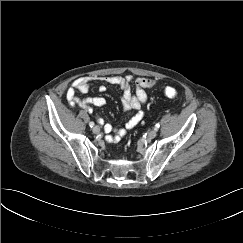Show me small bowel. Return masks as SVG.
Returning a JSON list of instances; mask_svg holds the SVG:
<instances>
[{"label": "small bowel", "instance_id": "obj_1", "mask_svg": "<svg viewBox=\"0 0 243 243\" xmlns=\"http://www.w3.org/2000/svg\"><path fill=\"white\" fill-rule=\"evenodd\" d=\"M96 77L83 76L75 79L67 90V99L72 106H79L89 112H91V106L101 107L105 105L106 101L103 97H85L80 98L77 96V92L87 93L92 81L97 80ZM105 81L111 85L117 86L122 90V106L124 110H135L136 113L127 121L125 128L113 129L112 125L106 124L104 130L106 133L110 134L108 136V141L117 143L125 135L127 130L132 129L144 117V112L142 110L143 106L147 102V90L153 88L157 85V81L150 78H136L135 80L131 76L121 77V76H110L105 78ZM135 83V91L132 92L130 84ZM99 91H106L105 85L99 86ZM102 122V119L99 118Z\"/></svg>", "mask_w": 243, "mask_h": 243}]
</instances>
